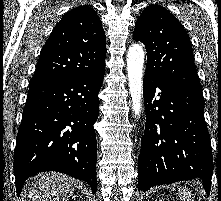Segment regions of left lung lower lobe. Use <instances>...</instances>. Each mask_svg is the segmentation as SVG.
Returning <instances> with one entry per match:
<instances>
[{
	"label": "left lung lower lobe",
	"mask_w": 221,
	"mask_h": 201,
	"mask_svg": "<svg viewBox=\"0 0 221 201\" xmlns=\"http://www.w3.org/2000/svg\"><path fill=\"white\" fill-rule=\"evenodd\" d=\"M143 95L146 126L138 157L140 190L198 177L209 195L213 157L202 91L145 74Z\"/></svg>",
	"instance_id": "obj_1"
}]
</instances>
